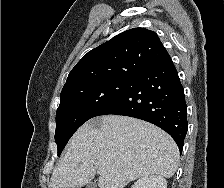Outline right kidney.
<instances>
[{
	"label": "right kidney",
	"instance_id": "ca27d5eb",
	"mask_svg": "<svg viewBox=\"0 0 224 188\" xmlns=\"http://www.w3.org/2000/svg\"><path fill=\"white\" fill-rule=\"evenodd\" d=\"M131 188H167V181L160 175L141 177Z\"/></svg>",
	"mask_w": 224,
	"mask_h": 188
}]
</instances>
